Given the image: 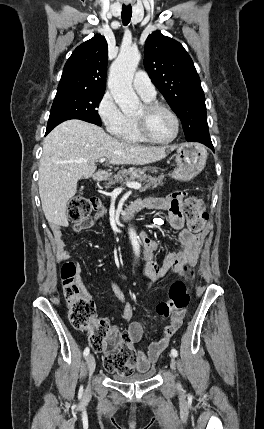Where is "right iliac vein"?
I'll return each mask as SVG.
<instances>
[{
  "label": "right iliac vein",
  "mask_w": 264,
  "mask_h": 429,
  "mask_svg": "<svg viewBox=\"0 0 264 429\" xmlns=\"http://www.w3.org/2000/svg\"><path fill=\"white\" fill-rule=\"evenodd\" d=\"M86 364H87V368L89 371V376L91 377L92 374L95 371V367H96V362H95V358L92 354L88 355L86 358Z\"/></svg>",
  "instance_id": "obj_1"
}]
</instances>
